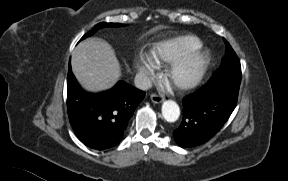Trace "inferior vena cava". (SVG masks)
Returning <instances> with one entry per match:
<instances>
[{"instance_id":"1","label":"inferior vena cava","mask_w":288,"mask_h":181,"mask_svg":"<svg viewBox=\"0 0 288 181\" xmlns=\"http://www.w3.org/2000/svg\"><path fill=\"white\" fill-rule=\"evenodd\" d=\"M136 88L141 90H148L152 87L150 78L146 74H137L134 78Z\"/></svg>"}]
</instances>
